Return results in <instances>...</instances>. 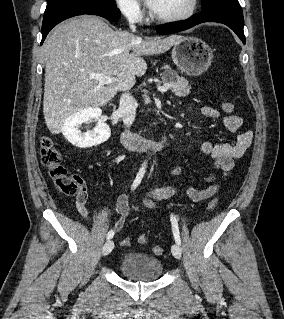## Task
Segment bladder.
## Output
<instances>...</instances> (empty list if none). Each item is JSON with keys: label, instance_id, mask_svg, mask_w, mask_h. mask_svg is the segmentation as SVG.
I'll return each mask as SVG.
<instances>
[{"label": "bladder", "instance_id": "obj_1", "mask_svg": "<svg viewBox=\"0 0 284 319\" xmlns=\"http://www.w3.org/2000/svg\"><path fill=\"white\" fill-rule=\"evenodd\" d=\"M119 270L131 281L150 282L162 275L163 264L157 257L141 252H128L121 258Z\"/></svg>", "mask_w": 284, "mask_h": 319}]
</instances>
